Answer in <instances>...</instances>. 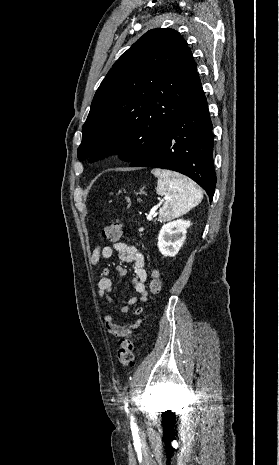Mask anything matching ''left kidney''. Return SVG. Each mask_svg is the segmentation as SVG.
Instances as JSON below:
<instances>
[{
	"label": "left kidney",
	"mask_w": 279,
	"mask_h": 465,
	"mask_svg": "<svg viewBox=\"0 0 279 465\" xmlns=\"http://www.w3.org/2000/svg\"><path fill=\"white\" fill-rule=\"evenodd\" d=\"M190 221L178 219L164 224L158 235V248L165 257H173L180 250L186 238Z\"/></svg>",
	"instance_id": "left-kidney-1"
}]
</instances>
